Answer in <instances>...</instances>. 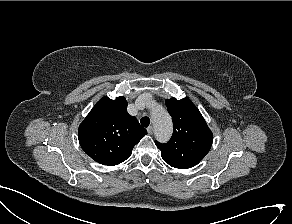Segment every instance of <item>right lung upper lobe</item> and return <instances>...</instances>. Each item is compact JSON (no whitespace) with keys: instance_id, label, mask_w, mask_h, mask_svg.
<instances>
[{"instance_id":"obj_1","label":"right lung upper lobe","mask_w":292,"mask_h":224,"mask_svg":"<svg viewBox=\"0 0 292 224\" xmlns=\"http://www.w3.org/2000/svg\"><path fill=\"white\" fill-rule=\"evenodd\" d=\"M127 105L124 97H103L80 124L79 143L96 162L114 166L125 161L147 134L137 119L127 113Z\"/></svg>"}]
</instances>
